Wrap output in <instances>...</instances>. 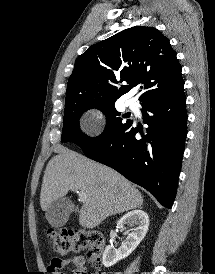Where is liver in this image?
I'll list each match as a JSON object with an SVG mask.
<instances>
[{
	"instance_id": "obj_1",
	"label": "liver",
	"mask_w": 215,
	"mask_h": 274,
	"mask_svg": "<svg viewBox=\"0 0 215 274\" xmlns=\"http://www.w3.org/2000/svg\"><path fill=\"white\" fill-rule=\"evenodd\" d=\"M47 164L40 205L46 210L68 191H83L87 198L78 210L79 223L92 229L107 217L141 207V193L122 175L74 151L61 148Z\"/></svg>"
}]
</instances>
